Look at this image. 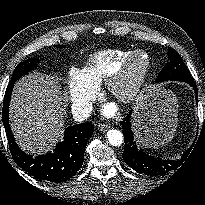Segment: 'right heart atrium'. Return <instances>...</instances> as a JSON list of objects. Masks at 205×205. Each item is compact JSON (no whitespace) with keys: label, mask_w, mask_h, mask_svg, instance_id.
Masks as SVG:
<instances>
[{"label":"right heart atrium","mask_w":205,"mask_h":205,"mask_svg":"<svg viewBox=\"0 0 205 205\" xmlns=\"http://www.w3.org/2000/svg\"><path fill=\"white\" fill-rule=\"evenodd\" d=\"M98 88L88 84L82 77L79 70L72 68L67 81V91L71 106L78 111L87 106L96 96Z\"/></svg>","instance_id":"obj_1"}]
</instances>
